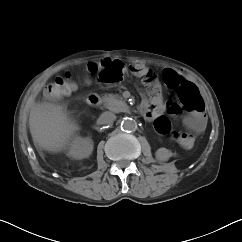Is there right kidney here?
<instances>
[{"label":"right kidney","instance_id":"ca27d5eb","mask_svg":"<svg viewBox=\"0 0 242 242\" xmlns=\"http://www.w3.org/2000/svg\"><path fill=\"white\" fill-rule=\"evenodd\" d=\"M93 140L89 137H74L70 143L68 155L74 159H83L90 156L93 151Z\"/></svg>","mask_w":242,"mask_h":242}]
</instances>
